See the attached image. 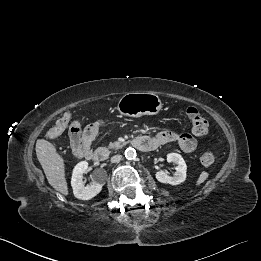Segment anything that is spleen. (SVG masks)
<instances>
[{
    "label": "spleen",
    "mask_w": 261,
    "mask_h": 261,
    "mask_svg": "<svg viewBox=\"0 0 261 261\" xmlns=\"http://www.w3.org/2000/svg\"><path fill=\"white\" fill-rule=\"evenodd\" d=\"M208 176H209V174H208L207 172L203 171V172L200 174V176H199V178H198V180H197V182H196V185L199 186L200 184H202L203 182H205V181L207 180Z\"/></svg>",
    "instance_id": "1"
}]
</instances>
